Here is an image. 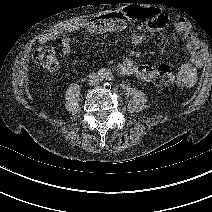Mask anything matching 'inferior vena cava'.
<instances>
[{
    "label": "inferior vena cava",
    "mask_w": 212,
    "mask_h": 212,
    "mask_svg": "<svg viewBox=\"0 0 212 212\" xmlns=\"http://www.w3.org/2000/svg\"><path fill=\"white\" fill-rule=\"evenodd\" d=\"M101 81H102V78L99 75L95 73H92L89 75L88 82L90 85L92 86L98 85Z\"/></svg>",
    "instance_id": "1"
}]
</instances>
